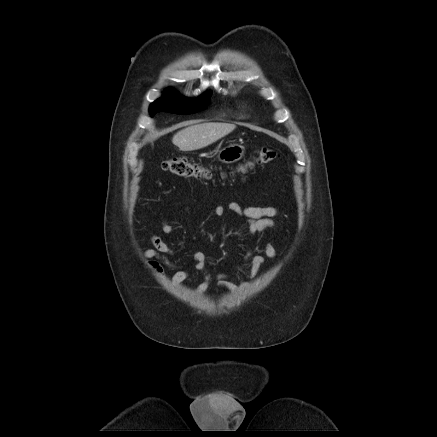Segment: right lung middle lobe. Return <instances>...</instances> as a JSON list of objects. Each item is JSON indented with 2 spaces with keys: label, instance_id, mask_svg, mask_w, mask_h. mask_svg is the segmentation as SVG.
<instances>
[{
  "label": "right lung middle lobe",
  "instance_id": "obj_1",
  "mask_svg": "<svg viewBox=\"0 0 437 437\" xmlns=\"http://www.w3.org/2000/svg\"><path fill=\"white\" fill-rule=\"evenodd\" d=\"M211 92L205 93L199 100L194 103L179 97L175 91L167 89L162 98L157 99L150 105V115L154 116L157 112L167 111L176 114H191L203 110L209 99Z\"/></svg>",
  "mask_w": 437,
  "mask_h": 437
}]
</instances>
